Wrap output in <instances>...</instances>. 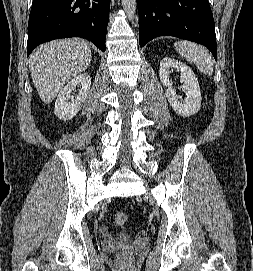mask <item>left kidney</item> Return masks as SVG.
Masks as SVG:
<instances>
[{"label":"left kidney","instance_id":"5707ae66","mask_svg":"<svg viewBox=\"0 0 253 271\" xmlns=\"http://www.w3.org/2000/svg\"><path fill=\"white\" fill-rule=\"evenodd\" d=\"M173 69L180 73V81L183 83L182 90L186 95L183 101L179 100L169 77L170 70ZM159 76L162 84L168 88L166 97L177 114L186 117L192 116L199 111L201 107L199 83L195 74L187 65L175 59L165 57L160 62Z\"/></svg>","mask_w":253,"mask_h":271}]
</instances>
